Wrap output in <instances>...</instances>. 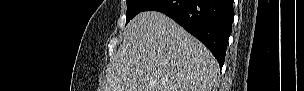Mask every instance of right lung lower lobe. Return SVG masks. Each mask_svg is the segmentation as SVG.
<instances>
[{
  "mask_svg": "<svg viewBox=\"0 0 304 91\" xmlns=\"http://www.w3.org/2000/svg\"><path fill=\"white\" fill-rule=\"evenodd\" d=\"M166 14L199 39L218 60L225 61L234 18L233 0H152L143 11Z\"/></svg>",
  "mask_w": 304,
  "mask_h": 91,
  "instance_id": "1",
  "label": "right lung lower lobe"
}]
</instances>
